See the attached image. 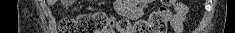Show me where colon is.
Masks as SVG:
<instances>
[{"label": "colon", "instance_id": "1", "mask_svg": "<svg viewBox=\"0 0 235 33\" xmlns=\"http://www.w3.org/2000/svg\"><path fill=\"white\" fill-rule=\"evenodd\" d=\"M173 0H165L161 7L152 12L148 20H140L132 25L126 19L117 20L103 12L83 13L73 18H64L60 23L62 33H165L172 14L169 6Z\"/></svg>", "mask_w": 235, "mask_h": 33}]
</instances>
